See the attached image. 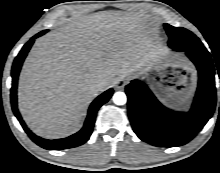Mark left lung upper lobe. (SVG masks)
<instances>
[{"mask_svg":"<svg viewBox=\"0 0 220 173\" xmlns=\"http://www.w3.org/2000/svg\"><path fill=\"white\" fill-rule=\"evenodd\" d=\"M170 36V46L175 50H180V47L187 48L193 51H205L204 46L199 39L190 31L184 28L172 27L165 25Z\"/></svg>","mask_w":220,"mask_h":173,"instance_id":"5c2ea615","label":"left lung upper lobe"}]
</instances>
